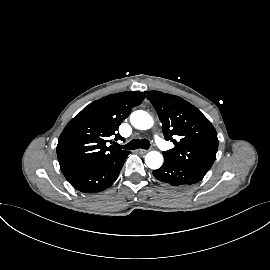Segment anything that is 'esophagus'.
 Returning a JSON list of instances; mask_svg holds the SVG:
<instances>
[{"label": "esophagus", "mask_w": 270, "mask_h": 270, "mask_svg": "<svg viewBox=\"0 0 270 270\" xmlns=\"http://www.w3.org/2000/svg\"><path fill=\"white\" fill-rule=\"evenodd\" d=\"M138 152L140 154H146L147 153V150H145V149H139Z\"/></svg>", "instance_id": "1"}]
</instances>
